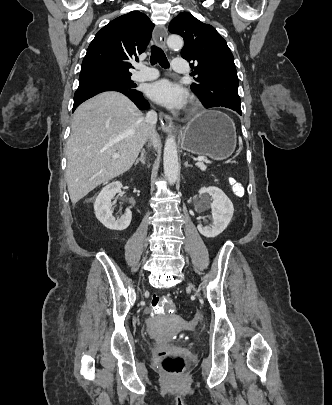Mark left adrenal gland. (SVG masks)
I'll list each match as a JSON object with an SVG mask.
<instances>
[{"instance_id": "a2214340", "label": "left adrenal gland", "mask_w": 332, "mask_h": 405, "mask_svg": "<svg viewBox=\"0 0 332 405\" xmlns=\"http://www.w3.org/2000/svg\"><path fill=\"white\" fill-rule=\"evenodd\" d=\"M184 166H185V168L190 167V165L188 164V162H185Z\"/></svg>"}]
</instances>
